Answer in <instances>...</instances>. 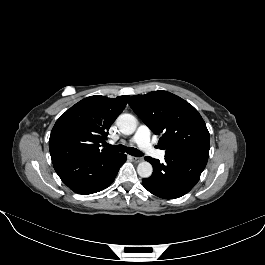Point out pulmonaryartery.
<instances>
[{"instance_id": "pulmonary-artery-1", "label": "pulmonary artery", "mask_w": 265, "mask_h": 265, "mask_svg": "<svg viewBox=\"0 0 265 265\" xmlns=\"http://www.w3.org/2000/svg\"><path fill=\"white\" fill-rule=\"evenodd\" d=\"M131 141L137 144L141 151L150 156H158L160 158L164 157V153L157 150L151 143L149 138V129L146 126L139 127Z\"/></svg>"}]
</instances>
